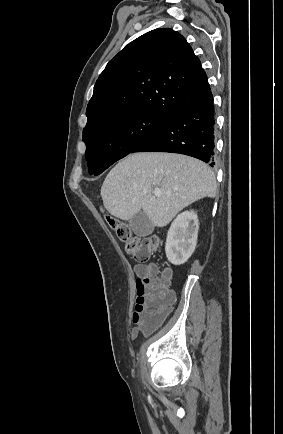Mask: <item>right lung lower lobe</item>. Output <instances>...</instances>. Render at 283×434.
I'll use <instances>...</instances> for the list:
<instances>
[{
    "mask_svg": "<svg viewBox=\"0 0 283 434\" xmlns=\"http://www.w3.org/2000/svg\"><path fill=\"white\" fill-rule=\"evenodd\" d=\"M215 112L211 92L171 116L134 152H172L198 158L213 166Z\"/></svg>",
    "mask_w": 283,
    "mask_h": 434,
    "instance_id": "right-lung-lower-lobe-1",
    "label": "right lung lower lobe"
}]
</instances>
